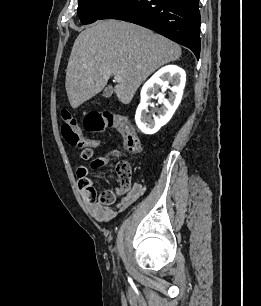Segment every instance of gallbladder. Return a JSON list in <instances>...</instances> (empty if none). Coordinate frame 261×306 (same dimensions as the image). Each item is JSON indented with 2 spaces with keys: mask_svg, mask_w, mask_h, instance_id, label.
<instances>
[{
  "mask_svg": "<svg viewBox=\"0 0 261 306\" xmlns=\"http://www.w3.org/2000/svg\"><path fill=\"white\" fill-rule=\"evenodd\" d=\"M112 94H113V88L111 86L106 87L103 91V96L105 98L111 97Z\"/></svg>",
  "mask_w": 261,
  "mask_h": 306,
  "instance_id": "bac80fb5",
  "label": "gallbladder"
}]
</instances>
